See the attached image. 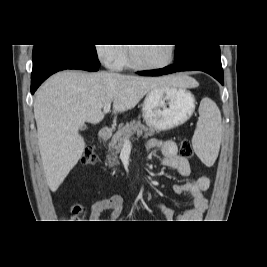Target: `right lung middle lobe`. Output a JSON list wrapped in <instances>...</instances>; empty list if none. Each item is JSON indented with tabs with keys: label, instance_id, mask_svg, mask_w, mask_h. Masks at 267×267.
Wrapping results in <instances>:
<instances>
[{
	"label": "right lung middle lobe",
	"instance_id": "1",
	"mask_svg": "<svg viewBox=\"0 0 267 267\" xmlns=\"http://www.w3.org/2000/svg\"><path fill=\"white\" fill-rule=\"evenodd\" d=\"M65 46L87 57L89 60H91L95 64L97 65L100 64L97 58L95 45L73 44V45H65Z\"/></svg>",
	"mask_w": 267,
	"mask_h": 267
}]
</instances>
